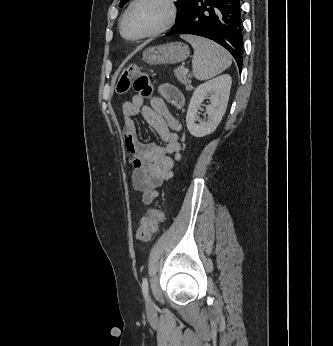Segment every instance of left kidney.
<instances>
[{
    "label": "left kidney",
    "instance_id": "1",
    "mask_svg": "<svg viewBox=\"0 0 333 346\" xmlns=\"http://www.w3.org/2000/svg\"><path fill=\"white\" fill-rule=\"evenodd\" d=\"M231 83V76L224 74L202 83L194 90L186 116L187 128L192 136L204 137L217 128L227 108ZM208 96L210 105L206 107L207 120H202L197 113Z\"/></svg>",
    "mask_w": 333,
    "mask_h": 346
}]
</instances>
